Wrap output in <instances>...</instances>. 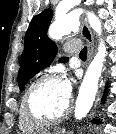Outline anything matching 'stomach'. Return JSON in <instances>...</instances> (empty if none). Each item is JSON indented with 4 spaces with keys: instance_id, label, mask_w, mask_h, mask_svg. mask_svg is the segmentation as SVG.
<instances>
[{
    "instance_id": "obj_1",
    "label": "stomach",
    "mask_w": 116,
    "mask_h": 134,
    "mask_svg": "<svg viewBox=\"0 0 116 134\" xmlns=\"http://www.w3.org/2000/svg\"><path fill=\"white\" fill-rule=\"evenodd\" d=\"M53 134H65L63 131H56L55 133Z\"/></svg>"
}]
</instances>
